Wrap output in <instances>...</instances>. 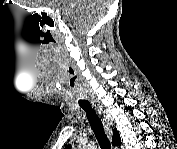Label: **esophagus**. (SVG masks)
Returning <instances> with one entry per match:
<instances>
[{"label":"esophagus","instance_id":"1","mask_svg":"<svg viewBox=\"0 0 177 149\" xmlns=\"http://www.w3.org/2000/svg\"><path fill=\"white\" fill-rule=\"evenodd\" d=\"M93 106L95 107V109L98 110L99 114H102L101 106H99L96 103H93ZM103 122H104V127H105V131H106L107 135L109 137H111L112 127H113V120H109V119H107V117L105 115H103Z\"/></svg>","mask_w":177,"mask_h":149}]
</instances>
